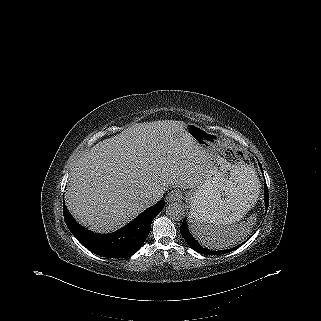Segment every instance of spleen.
<instances>
[{
	"mask_svg": "<svg viewBox=\"0 0 321 321\" xmlns=\"http://www.w3.org/2000/svg\"><path fill=\"white\" fill-rule=\"evenodd\" d=\"M255 223V215L250 216L246 221L233 225L202 222L195 219L190 226V231L203 246L214 250L226 249L245 239Z\"/></svg>",
	"mask_w": 321,
	"mask_h": 321,
	"instance_id": "spleen-1",
	"label": "spleen"
}]
</instances>
